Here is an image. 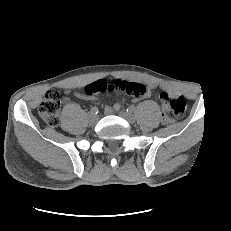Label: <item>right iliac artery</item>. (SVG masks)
Wrapping results in <instances>:
<instances>
[{
	"mask_svg": "<svg viewBox=\"0 0 231 231\" xmlns=\"http://www.w3.org/2000/svg\"><path fill=\"white\" fill-rule=\"evenodd\" d=\"M98 112H99V110H98V108H97L96 106H94V107H92V108L90 109V113H91V114L96 115V114H98Z\"/></svg>",
	"mask_w": 231,
	"mask_h": 231,
	"instance_id": "obj_1",
	"label": "right iliac artery"
}]
</instances>
